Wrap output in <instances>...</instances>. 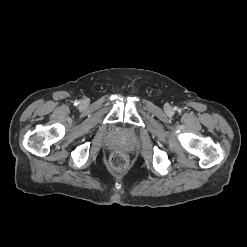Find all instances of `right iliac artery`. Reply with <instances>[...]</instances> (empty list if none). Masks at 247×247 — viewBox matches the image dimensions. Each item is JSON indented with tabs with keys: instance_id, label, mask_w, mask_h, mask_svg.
I'll list each match as a JSON object with an SVG mask.
<instances>
[{
	"instance_id": "82829eb1",
	"label": "right iliac artery",
	"mask_w": 247,
	"mask_h": 247,
	"mask_svg": "<svg viewBox=\"0 0 247 247\" xmlns=\"http://www.w3.org/2000/svg\"><path fill=\"white\" fill-rule=\"evenodd\" d=\"M78 104H79V101L76 100V101L74 102V105L77 106Z\"/></svg>"
}]
</instances>
